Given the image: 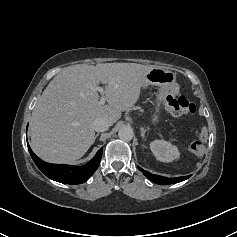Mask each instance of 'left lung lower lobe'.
Returning <instances> with one entry per match:
<instances>
[{
    "mask_svg": "<svg viewBox=\"0 0 237 237\" xmlns=\"http://www.w3.org/2000/svg\"><path fill=\"white\" fill-rule=\"evenodd\" d=\"M138 168L142 171V173L146 177H148L150 180H152L153 182H155L157 184H164V185L174 184V183L184 181V180H186L190 177V176H183V177H176V178H166V177H162V176H159V175L151 174V173L143 170L140 167H138Z\"/></svg>",
    "mask_w": 237,
    "mask_h": 237,
    "instance_id": "left-lung-lower-lobe-1",
    "label": "left lung lower lobe"
}]
</instances>
